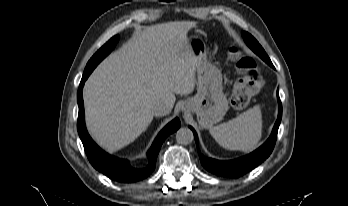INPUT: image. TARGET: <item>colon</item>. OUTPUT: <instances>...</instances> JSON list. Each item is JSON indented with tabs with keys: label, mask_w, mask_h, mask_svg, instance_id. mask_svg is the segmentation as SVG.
Listing matches in <instances>:
<instances>
[{
	"label": "colon",
	"mask_w": 348,
	"mask_h": 206,
	"mask_svg": "<svg viewBox=\"0 0 348 206\" xmlns=\"http://www.w3.org/2000/svg\"><path fill=\"white\" fill-rule=\"evenodd\" d=\"M230 57L241 75L233 90L232 103L244 108L263 85L262 70L253 58L243 56L237 47L231 49Z\"/></svg>",
	"instance_id": "5ec220e1"
}]
</instances>
